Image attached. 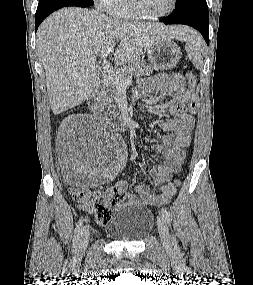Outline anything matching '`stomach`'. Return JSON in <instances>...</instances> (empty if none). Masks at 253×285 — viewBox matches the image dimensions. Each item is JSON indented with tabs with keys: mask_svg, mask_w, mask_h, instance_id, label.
I'll return each mask as SVG.
<instances>
[{
	"mask_svg": "<svg viewBox=\"0 0 253 285\" xmlns=\"http://www.w3.org/2000/svg\"><path fill=\"white\" fill-rule=\"evenodd\" d=\"M150 65L158 70L174 68L180 58L181 51L178 45L171 39H163L147 50Z\"/></svg>",
	"mask_w": 253,
	"mask_h": 285,
	"instance_id": "0dacf381",
	"label": "stomach"
}]
</instances>
